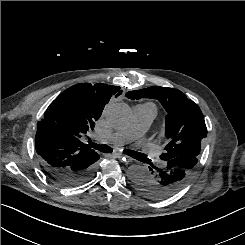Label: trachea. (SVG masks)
I'll list each match as a JSON object with an SVG mask.
<instances>
[{"instance_id":"3493384b","label":"trachea","mask_w":245,"mask_h":245,"mask_svg":"<svg viewBox=\"0 0 245 245\" xmlns=\"http://www.w3.org/2000/svg\"><path fill=\"white\" fill-rule=\"evenodd\" d=\"M89 146L100 151V152H103V153H111L112 152V148L110 146L104 145V144L99 145V144L92 142L91 140L89 141ZM124 152L126 154H130L131 151L130 150H124Z\"/></svg>"}]
</instances>
